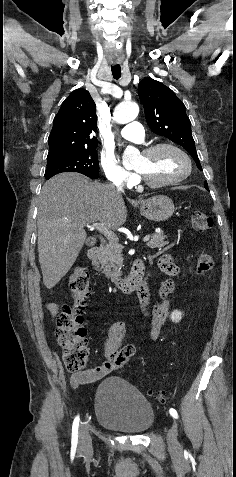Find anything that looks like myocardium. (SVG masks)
Here are the masks:
<instances>
[{"label":"myocardium","instance_id":"myocardium-1","mask_svg":"<svg viewBox=\"0 0 236 477\" xmlns=\"http://www.w3.org/2000/svg\"><path fill=\"white\" fill-rule=\"evenodd\" d=\"M165 148L172 149V150L176 151L177 153H179L185 159V161L187 163L186 171L182 175H180V176H178L174 179H170V180H166V181H160V182H154V181L150 180L149 178H147L146 176H144L140 171L135 170L139 181L142 182L144 185H146L148 187H151V188H162V187L172 186V185H176V184L181 183L183 180H185L191 174L192 168H193L191 158L189 157V155L182 148H180L179 146H177L174 143H171V142L155 143L153 145H150V146L146 147L142 151V154L145 155V156H150V155L156 153L157 151H159L161 149H165Z\"/></svg>","mask_w":236,"mask_h":477}]
</instances>
